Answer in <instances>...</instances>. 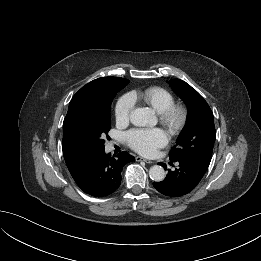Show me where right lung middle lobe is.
Here are the masks:
<instances>
[{"label":"right lung middle lobe","instance_id":"obj_1","mask_svg":"<svg viewBox=\"0 0 261 261\" xmlns=\"http://www.w3.org/2000/svg\"><path fill=\"white\" fill-rule=\"evenodd\" d=\"M128 83L127 79H122L107 96L87 101L64 120V156L80 159L105 148L104 139H109L111 103L116 93Z\"/></svg>","mask_w":261,"mask_h":261}]
</instances>
